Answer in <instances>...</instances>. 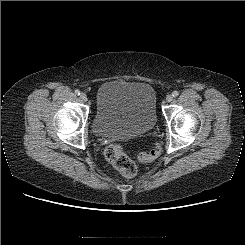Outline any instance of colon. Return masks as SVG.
I'll list each match as a JSON object with an SVG mask.
<instances>
[{
    "label": "colon",
    "mask_w": 245,
    "mask_h": 245,
    "mask_svg": "<svg viewBox=\"0 0 245 245\" xmlns=\"http://www.w3.org/2000/svg\"><path fill=\"white\" fill-rule=\"evenodd\" d=\"M159 148L139 154L140 162H150L159 156ZM106 159L124 176L132 177L136 174V164L128 157L123 148L119 145H110L105 151Z\"/></svg>",
    "instance_id": "obj_1"
}]
</instances>
